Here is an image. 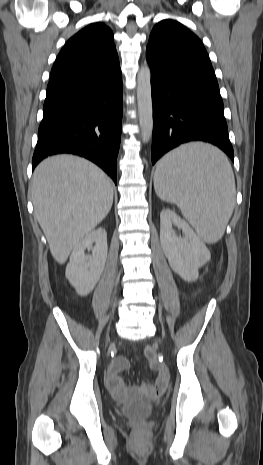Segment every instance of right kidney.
I'll list each match as a JSON object with an SVG mask.
<instances>
[{
  "instance_id": "ca27d5eb",
  "label": "right kidney",
  "mask_w": 263,
  "mask_h": 465,
  "mask_svg": "<svg viewBox=\"0 0 263 465\" xmlns=\"http://www.w3.org/2000/svg\"><path fill=\"white\" fill-rule=\"evenodd\" d=\"M85 250H91L92 254L86 255ZM107 251V233L103 228L89 233L72 251L65 275L79 295L86 296L94 289L103 272Z\"/></svg>"
}]
</instances>
